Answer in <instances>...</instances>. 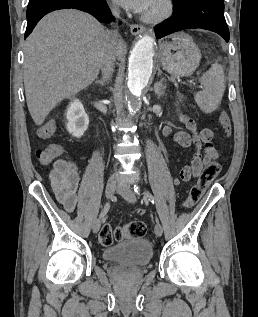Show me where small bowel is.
I'll list each match as a JSON object with an SVG mask.
<instances>
[{"label":"small bowel","instance_id":"1","mask_svg":"<svg viewBox=\"0 0 258 317\" xmlns=\"http://www.w3.org/2000/svg\"><path fill=\"white\" fill-rule=\"evenodd\" d=\"M179 118L188 132H176L172 137L173 141L177 146L182 148L195 146L196 152L191 164L184 166L179 176L175 178L174 183L176 185L198 177L203 167L219 155L214 144V134L211 129L204 128L198 131L193 119L184 115ZM54 131L55 123L49 120L38 128V136L42 139H47L53 135ZM162 135L165 138L171 137V127L165 126ZM50 180L57 200L68 212L74 211L78 202V189L80 185V175L76 164L70 160L57 159L50 173Z\"/></svg>","mask_w":258,"mask_h":317}]
</instances>
